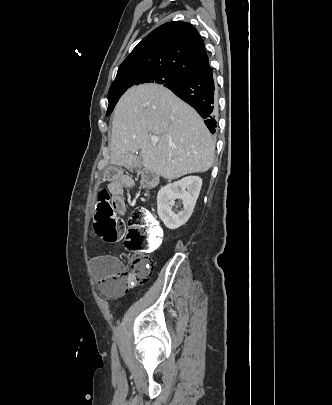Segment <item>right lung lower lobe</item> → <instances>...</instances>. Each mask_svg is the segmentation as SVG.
Wrapping results in <instances>:
<instances>
[{
    "label": "right lung lower lobe",
    "mask_w": 332,
    "mask_h": 405,
    "mask_svg": "<svg viewBox=\"0 0 332 405\" xmlns=\"http://www.w3.org/2000/svg\"><path fill=\"white\" fill-rule=\"evenodd\" d=\"M167 88L195 108L205 119L204 123L210 132L215 133L217 124L215 114L218 107L217 91L213 70L209 65L185 76Z\"/></svg>",
    "instance_id": "98d812e1"
}]
</instances>
